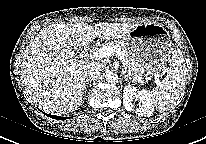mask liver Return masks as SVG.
<instances>
[{
  "label": "liver",
  "mask_w": 206,
  "mask_h": 144,
  "mask_svg": "<svg viewBox=\"0 0 206 144\" xmlns=\"http://www.w3.org/2000/svg\"><path fill=\"white\" fill-rule=\"evenodd\" d=\"M137 25L100 22L93 28L85 22L59 23L41 30L27 46L21 64V76L31 99L51 113L76 110L82 104L85 71L90 63L78 59L73 48L95 38H124Z\"/></svg>",
  "instance_id": "6515ba94"
}]
</instances>
